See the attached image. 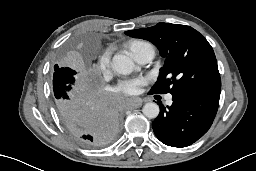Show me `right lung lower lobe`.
<instances>
[{
    "label": "right lung lower lobe",
    "instance_id": "98d812e1",
    "mask_svg": "<svg viewBox=\"0 0 256 171\" xmlns=\"http://www.w3.org/2000/svg\"><path fill=\"white\" fill-rule=\"evenodd\" d=\"M57 111L65 128L85 147L111 143L120 129L118 105L97 87L85 89Z\"/></svg>",
    "mask_w": 256,
    "mask_h": 171
}]
</instances>
